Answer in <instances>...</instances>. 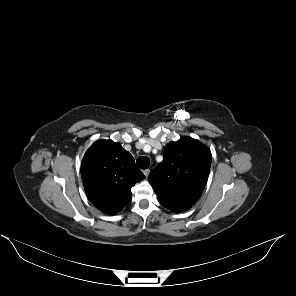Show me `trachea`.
I'll list each match as a JSON object with an SVG mask.
<instances>
[{
	"label": "trachea",
	"instance_id": "trachea-1",
	"mask_svg": "<svg viewBox=\"0 0 296 296\" xmlns=\"http://www.w3.org/2000/svg\"><path fill=\"white\" fill-rule=\"evenodd\" d=\"M137 165L141 169H147L150 166V159L146 156H141L137 159Z\"/></svg>",
	"mask_w": 296,
	"mask_h": 296
}]
</instances>
